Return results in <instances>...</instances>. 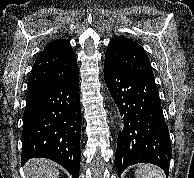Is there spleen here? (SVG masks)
<instances>
[{"mask_svg": "<svg viewBox=\"0 0 194 178\" xmlns=\"http://www.w3.org/2000/svg\"><path fill=\"white\" fill-rule=\"evenodd\" d=\"M136 178H165V176L157 166L141 164L136 169Z\"/></svg>", "mask_w": 194, "mask_h": 178, "instance_id": "1", "label": "spleen"}]
</instances>
